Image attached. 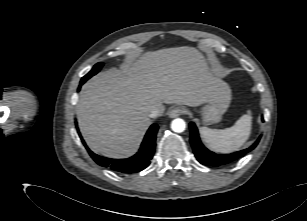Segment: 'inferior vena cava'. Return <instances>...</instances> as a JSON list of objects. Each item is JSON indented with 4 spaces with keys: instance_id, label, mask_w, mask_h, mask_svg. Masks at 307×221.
I'll return each mask as SVG.
<instances>
[{
    "instance_id": "1",
    "label": "inferior vena cava",
    "mask_w": 307,
    "mask_h": 221,
    "mask_svg": "<svg viewBox=\"0 0 307 221\" xmlns=\"http://www.w3.org/2000/svg\"><path fill=\"white\" fill-rule=\"evenodd\" d=\"M159 115H160V110L157 109V108L152 109L150 114H149L150 118H156Z\"/></svg>"
}]
</instances>
